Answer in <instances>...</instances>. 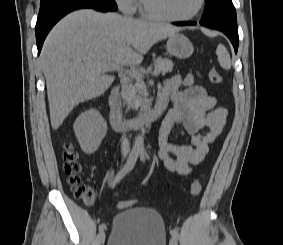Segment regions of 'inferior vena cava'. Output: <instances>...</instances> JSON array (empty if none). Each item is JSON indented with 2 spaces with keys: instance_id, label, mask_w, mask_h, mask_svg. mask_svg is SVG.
I'll return each mask as SVG.
<instances>
[{
  "instance_id": "1",
  "label": "inferior vena cava",
  "mask_w": 283,
  "mask_h": 245,
  "mask_svg": "<svg viewBox=\"0 0 283 245\" xmlns=\"http://www.w3.org/2000/svg\"><path fill=\"white\" fill-rule=\"evenodd\" d=\"M121 151L124 157L127 156V154L130 152L129 141L125 134H123L122 140H121Z\"/></svg>"
}]
</instances>
